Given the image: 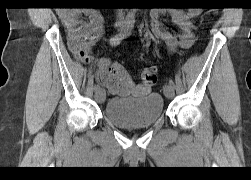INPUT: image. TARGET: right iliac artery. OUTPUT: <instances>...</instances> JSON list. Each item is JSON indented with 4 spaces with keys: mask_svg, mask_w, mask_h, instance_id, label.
I'll return each instance as SVG.
<instances>
[{
    "mask_svg": "<svg viewBox=\"0 0 251 180\" xmlns=\"http://www.w3.org/2000/svg\"><path fill=\"white\" fill-rule=\"evenodd\" d=\"M135 24V15L133 12H130L124 21V25L121 29V31L117 34H115L111 39H110V45L113 47L117 46L120 44V42L126 38L127 36L130 35L133 27ZM100 89V86L97 84L94 86V90L97 91Z\"/></svg>",
    "mask_w": 251,
    "mask_h": 180,
    "instance_id": "82829eb1",
    "label": "right iliac artery"
}]
</instances>
